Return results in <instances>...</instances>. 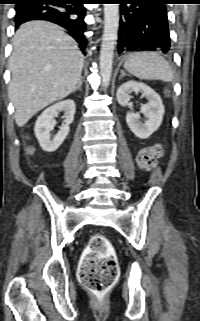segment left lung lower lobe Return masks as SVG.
Listing matches in <instances>:
<instances>
[{
    "mask_svg": "<svg viewBox=\"0 0 200 321\" xmlns=\"http://www.w3.org/2000/svg\"><path fill=\"white\" fill-rule=\"evenodd\" d=\"M120 7L118 53L133 49L170 50L165 4L170 0H116Z\"/></svg>",
    "mask_w": 200,
    "mask_h": 321,
    "instance_id": "1",
    "label": "left lung lower lobe"
}]
</instances>
